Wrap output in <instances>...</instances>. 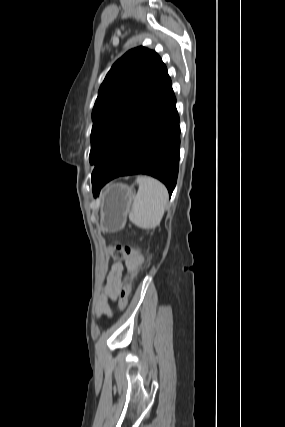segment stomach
I'll return each instance as SVG.
<instances>
[{
	"label": "stomach",
	"instance_id": "stomach-1",
	"mask_svg": "<svg viewBox=\"0 0 285 427\" xmlns=\"http://www.w3.org/2000/svg\"><path fill=\"white\" fill-rule=\"evenodd\" d=\"M134 192L131 187L122 184H112L101 196V228L106 232H117L126 222Z\"/></svg>",
	"mask_w": 285,
	"mask_h": 427
}]
</instances>
